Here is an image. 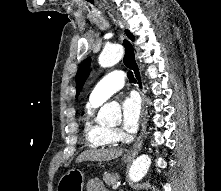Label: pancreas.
Masks as SVG:
<instances>
[{"label":"pancreas","mask_w":221,"mask_h":191,"mask_svg":"<svg viewBox=\"0 0 221 191\" xmlns=\"http://www.w3.org/2000/svg\"><path fill=\"white\" fill-rule=\"evenodd\" d=\"M103 180L106 185L110 187L115 185V183L119 180V175L105 172L103 175Z\"/></svg>","instance_id":"pancreas-1"}]
</instances>
